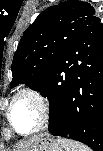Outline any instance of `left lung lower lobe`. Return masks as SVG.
I'll return each mask as SVG.
<instances>
[{
  "label": "left lung lower lobe",
  "mask_w": 103,
  "mask_h": 151,
  "mask_svg": "<svg viewBox=\"0 0 103 151\" xmlns=\"http://www.w3.org/2000/svg\"><path fill=\"white\" fill-rule=\"evenodd\" d=\"M50 104L49 132L103 151V24L88 27L38 90Z\"/></svg>",
  "instance_id": "0a47b994"
}]
</instances>
